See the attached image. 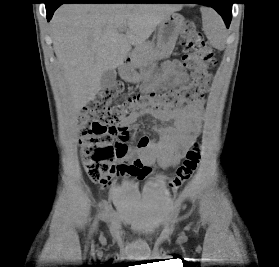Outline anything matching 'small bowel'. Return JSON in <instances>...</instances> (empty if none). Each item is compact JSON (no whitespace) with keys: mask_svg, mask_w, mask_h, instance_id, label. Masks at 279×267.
<instances>
[{"mask_svg":"<svg viewBox=\"0 0 279 267\" xmlns=\"http://www.w3.org/2000/svg\"><path fill=\"white\" fill-rule=\"evenodd\" d=\"M188 78L179 60L166 63L163 76L156 82V86H172L185 82ZM148 88V87H147ZM145 115H151L161 125L155 129L157 138L143 137L132 151L131 156L139 161L143 169L136 176L143 179L151 172L155 164L166 169L174 167L184 156L194 139L197 137L203 121V102L196 101L181 109L151 110L145 109L131 114L126 120L129 129L136 121ZM172 122V125H167ZM128 157H125V161ZM114 176L106 177L99 182L102 187H108Z\"/></svg>","mask_w":279,"mask_h":267,"instance_id":"1","label":"small bowel"}]
</instances>
